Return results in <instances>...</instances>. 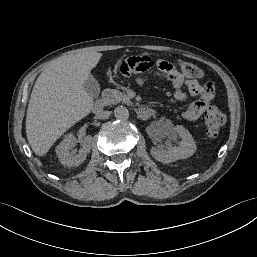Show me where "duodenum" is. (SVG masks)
I'll list each match as a JSON object with an SVG mask.
<instances>
[{
    "instance_id": "1",
    "label": "duodenum",
    "mask_w": 257,
    "mask_h": 257,
    "mask_svg": "<svg viewBox=\"0 0 257 257\" xmlns=\"http://www.w3.org/2000/svg\"><path fill=\"white\" fill-rule=\"evenodd\" d=\"M92 110L95 114H100L104 110V102L102 99L97 98L92 106ZM154 114V111L151 108L148 107H140L137 109V115L141 119H147L150 118Z\"/></svg>"
}]
</instances>
